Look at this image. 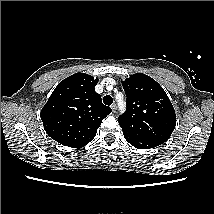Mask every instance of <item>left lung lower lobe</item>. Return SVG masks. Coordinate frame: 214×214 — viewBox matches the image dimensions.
<instances>
[{"label":"left lung lower lobe","mask_w":214,"mask_h":214,"mask_svg":"<svg viewBox=\"0 0 214 214\" xmlns=\"http://www.w3.org/2000/svg\"><path fill=\"white\" fill-rule=\"evenodd\" d=\"M124 137L132 146L138 149H150L158 146L156 143L151 141L134 138L132 136H127V135H124Z\"/></svg>","instance_id":"obj_1"}]
</instances>
